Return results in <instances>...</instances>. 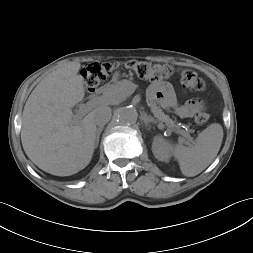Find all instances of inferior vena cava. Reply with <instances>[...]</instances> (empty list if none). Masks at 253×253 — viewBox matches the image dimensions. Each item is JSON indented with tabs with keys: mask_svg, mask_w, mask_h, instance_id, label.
Wrapping results in <instances>:
<instances>
[{
	"mask_svg": "<svg viewBox=\"0 0 253 253\" xmlns=\"http://www.w3.org/2000/svg\"><path fill=\"white\" fill-rule=\"evenodd\" d=\"M111 109L107 106H100L94 111V121L99 127L104 126L111 119Z\"/></svg>",
	"mask_w": 253,
	"mask_h": 253,
	"instance_id": "inferior-vena-cava-1",
	"label": "inferior vena cava"
}]
</instances>
